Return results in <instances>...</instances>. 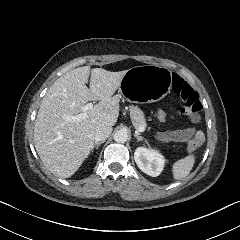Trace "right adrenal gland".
Masks as SVG:
<instances>
[{"instance_id": "obj_1", "label": "right adrenal gland", "mask_w": 240, "mask_h": 240, "mask_svg": "<svg viewBox=\"0 0 240 240\" xmlns=\"http://www.w3.org/2000/svg\"><path fill=\"white\" fill-rule=\"evenodd\" d=\"M104 142H105V141H101V142H95V144L93 145V147H92L91 151L93 152L94 148L98 149V148H99V146H100L102 143H104Z\"/></svg>"}]
</instances>
